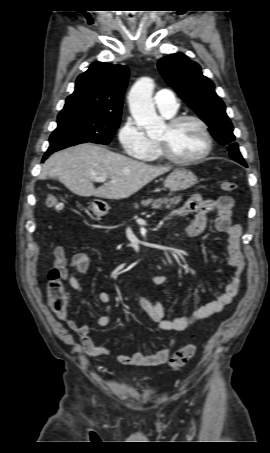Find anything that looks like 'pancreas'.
Wrapping results in <instances>:
<instances>
[{"label": "pancreas", "mask_w": 270, "mask_h": 453, "mask_svg": "<svg viewBox=\"0 0 270 453\" xmlns=\"http://www.w3.org/2000/svg\"><path fill=\"white\" fill-rule=\"evenodd\" d=\"M181 201L180 197H174V198H159V199H148V200H142L141 205L142 206H152V209H171L174 205L178 204ZM134 208L138 209L139 205L134 204Z\"/></svg>", "instance_id": "obj_1"}]
</instances>
